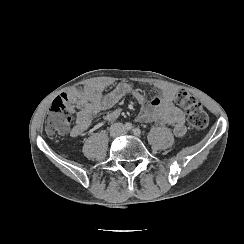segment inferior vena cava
I'll return each mask as SVG.
<instances>
[{"label": "inferior vena cava", "mask_w": 244, "mask_h": 244, "mask_svg": "<svg viewBox=\"0 0 244 244\" xmlns=\"http://www.w3.org/2000/svg\"><path fill=\"white\" fill-rule=\"evenodd\" d=\"M112 129H114L115 131L123 129V124L122 123H114L113 125H111V130Z\"/></svg>", "instance_id": "602c4592"}]
</instances>
